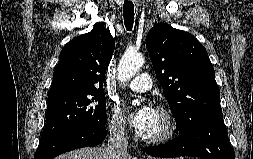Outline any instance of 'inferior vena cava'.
Returning <instances> with one entry per match:
<instances>
[{
    "label": "inferior vena cava",
    "mask_w": 253,
    "mask_h": 159,
    "mask_svg": "<svg viewBox=\"0 0 253 159\" xmlns=\"http://www.w3.org/2000/svg\"><path fill=\"white\" fill-rule=\"evenodd\" d=\"M127 146L128 141L125 133V126L119 124L112 127L107 145V151L111 159H116L117 156L127 154Z\"/></svg>",
    "instance_id": "602c4592"
}]
</instances>
